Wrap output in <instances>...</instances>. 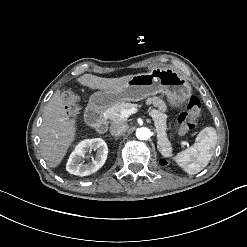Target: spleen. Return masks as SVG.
Segmentation results:
<instances>
[{
  "mask_svg": "<svg viewBox=\"0 0 247 247\" xmlns=\"http://www.w3.org/2000/svg\"><path fill=\"white\" fill-rule=\"evenodd\" d=\"M217 143V132L214 127L202 129L197 136L196 144L185 149L177 156V162L189 174L202 171L212 158L211 150Z\"/></svg>",
  "mask_w": 247,
  "mask_h": 247,
  "instance_id": "1",
  "label": "spleen"
}]
</instances>
